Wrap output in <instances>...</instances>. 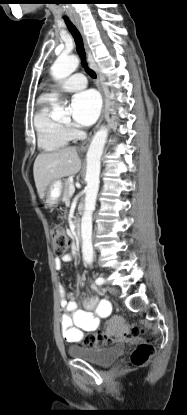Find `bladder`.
Listing matches in <instances>:
<instances>
[{"label": "bladder", "instance_id": "bladder-1", "mask_svg": "<svg viewBox=\"0 0 187 415\" xmlns=\"http://www.w3.org/2000/svg\"><path fill=\"white\" fill-rule=\"evenodd\" d=\"M125 350L126 344L124 343H118L105 348L70 346L68 354L73 358L83 359L94 365L106 367L123 356Z\"/></svg>", "mask_w": 187, "mask_h": 415}]
</instances>
